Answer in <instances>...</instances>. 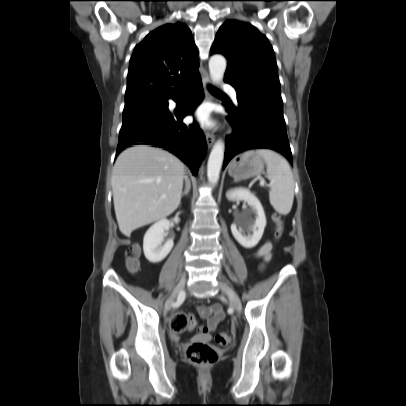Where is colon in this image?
Wrapping results in <instances>:
<instances>
[{
	"mask_svg": "<svg viewBox=\"0 0 406 406\" xmlns=\"http://www.w3.org/2000/svg\"><path fill=\"white\" fill-rule=\"evenodd\" d=\"M273 220L276 224V236L280 237L282 234V221L279 214L273 215ZM140 248L137 245H132L126 252V264L131 272H136L139 269ZM171 330L175 333H181L196 327L194 317L186 312H176L172 315L170 320ZM216 341L220 345H227L231 343L232 337L230 334L222 332L217 334ZM186 357L193 364L199 366H210L217 360V353L215 349L205 342H192L186 348Z\"/></svg>",
	"mask_w": 406,
	"mask_h": 406,
	"instance_id": "colon-1",
	"label": "colon"
}]
</instances>
